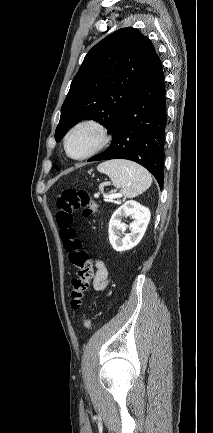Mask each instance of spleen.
<instances>
[{"label": "spleen", "mask_w": 213, "mask_h": 433, "mask_svg": "<svg viewBox=\"0 0 213 433\" xmlns=\"http://www.w3.org/2000/svg\"><path fill=\"white\" fill-rule=\"evenodd\" d=\"M97 170L106 174L117 189L127 198L146 191L152 184L150 173L142 166L127 160H110L98 165Z\"/></svg>", "instance_id": "spleen-1"}]
</instances>
